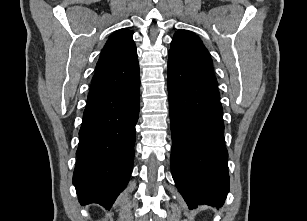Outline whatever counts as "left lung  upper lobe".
I'll return each mask as SVG.
<instances>
[{"instance_id": "left-lung-upper-lobe-1", "label": "left lung upper lobe", "mask_w": 307, "mask_h": 221, "mask_svg": "<svg viewBox=\"0 0 307 221\" xmlns=\"http://www.w3.org/2000/svg\"><path fill=\"white\" fill-rule=\"evenodd\" d=\"M169 54L177 57L203 78L217 85L212 59L197 35L188 30L174 34Z\"/></svg>"}]
</instances>
